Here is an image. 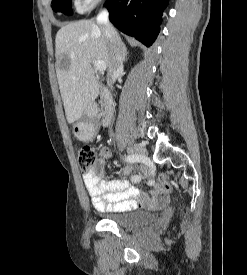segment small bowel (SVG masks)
Instances as JSON below:
<instances>
[{
    "mask_svg": "<svg viewBox=\"0 0 247 275\" xmlns=\"http://www.w3.org/2000/svg\"><path fill=\"white\" fill-rule=\"evenodd\" d=\"M108 148L99 151L98 163L83 174L85 188L91 197L93 206L99 211L124 212L140 206H163L168 202L170 190L160 179L148 182L152 189L145 193L132 186L123 176L131 173L132 167L123 168L119 178H109L104 164L110 158Z\"/></svg>",
    "mask_w": 247,
    "mask_h": 275,
    "instance_id": "small-bowel-1",
    "label": "small bowel"
}]
</instances>
